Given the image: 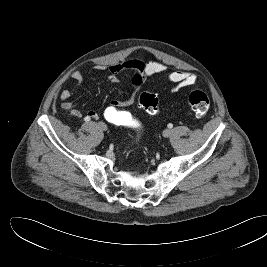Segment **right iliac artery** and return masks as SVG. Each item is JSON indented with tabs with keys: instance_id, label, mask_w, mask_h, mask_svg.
I'll return each mask as SVG.
<instances>
[{
	"instance_id": "obj_1",
	"label": "right iliac artery",
	"mask_w": 267,
	"mask_h": 267,
	"mask_svg": "<svg viewBox=\"0 0 267 267\" xmlns=\"http://www.w3.org/2000/svg\"><path fill=\"white\" fill-rule=\"evenodd\" d=\"M90 119H88V118H85V121H89Z\"/></svg>"
}]
</instances>
